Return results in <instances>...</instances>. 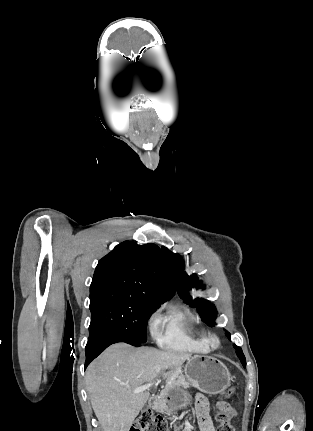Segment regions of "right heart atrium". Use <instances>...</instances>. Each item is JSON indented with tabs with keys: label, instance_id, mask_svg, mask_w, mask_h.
<instances>
[{
	"label": "right heart atrium",
	"instance_id": "1",
	"mask_svg": "<svg viewBox=\"0 0 313 431\" xmlns=\"http://www.w3.org/2000/svg\"><path fill=\"white\" fill-rule=\"evenodd\" d=\"M159 324H160L159 317L157 315H153L149 321V326L153 335H157Z\"/></svg>",
	"mask_w": 313,
	"mask_h": 431
}]
</instances>
